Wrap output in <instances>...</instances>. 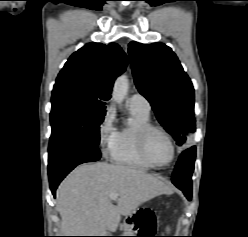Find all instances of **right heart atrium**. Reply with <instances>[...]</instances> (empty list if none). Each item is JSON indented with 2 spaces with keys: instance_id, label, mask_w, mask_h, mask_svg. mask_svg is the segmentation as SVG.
<instances>
[{
  "instance_id": "obj_1",
  "label": "right heart atrium",
  "mask_w": 248,
  "mask_h": 237,
  "mask_svg": "<svg viewBox=\"0 0 248 237\" xmlns=\"http://www.w3.org/2000/svg\"><path fill=\"white\" fill-rule=\"evenodd\" d=\"M117 129L114 126L112 109H106L97 129L98 143L104 156H110L115 148Z\"/></svg>"
}]
</instances>
